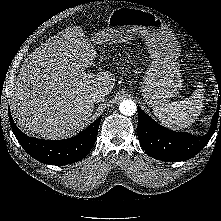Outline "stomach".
Listing matches in <instances>:
<instances>
[{
  "label": "stomach",
  "mask_w": 221,
  "mask_h": 221,
  "mask_svg": "<svg viewBox=\"0 0 221 221\" xmlns=\"http://www.w3.org/2000/svg\"><path fill=\"white\" fill-rule=\"evenodd\" d=\"M140 34L152 58L141 92L145 102L154 107L166 104L182 87V76L177 62L179 44L168 25L155 14L136 7L114 9L107 27L95 33V45L122 43Z\"/></svg>",
  "instance_id": "1"
}]
</instances>
